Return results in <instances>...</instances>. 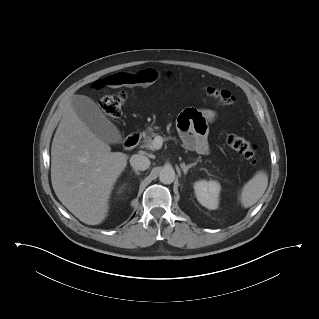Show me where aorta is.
I'll return each mask as SVG.
<instances>
[{
  "label": "aorta",
  "mask_w": 319,
  "mask_h": 319,
  "mask_svg": "<svg viewBox=\"0 0 319 319\" xmlns=\"http://www.w3.org/2000/svg\"><path fill=\"white\" fill-rule=\"evenodd\" d=\"M175 179V171L172 167H164L159 173V180L163 184H171Z\"/></svg>",
  "instance_id": "aorta-1"
}]
</instances>
